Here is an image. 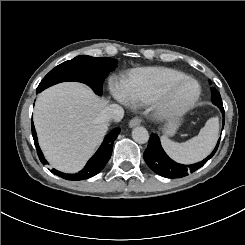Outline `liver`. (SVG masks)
<instances>
[{
  "mask_svg": "<svg viewBox=\"0 0 245 245\" xmlns=\"http://www.w3.org/2000/svg\"><path fill=\"white\" fill-rule=\"evenodd\" d=\"M108 104L86 85L64 82L37 97L33 114L39 145L52 167L80 171L108 130L99 114Z\"/></svg>",
  "mask_w": 245,
  "mask_h": 245,
  "instance_id": "6515ba94",
  "label": "liver"
}]
</instances>
